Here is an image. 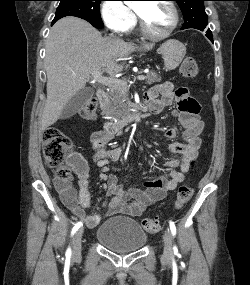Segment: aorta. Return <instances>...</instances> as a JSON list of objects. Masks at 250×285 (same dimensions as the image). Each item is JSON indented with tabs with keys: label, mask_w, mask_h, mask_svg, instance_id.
Instances as JSON below:
<instances>
[{
	"label": "aorta",
	"mask_w": 250,
	"mask_h": 285,
	"mask_svg": "<svg viewBox=\"0 0 250 285\" xmlns=\"http://www.w3.org/2000/svg\"><path fill=\"white\" fill-rule=\"evenodd\" d=\"M125 3L129 5V4H131L132 2H131V1H126Z\"/></svg>",
	"instance_id": "obj_1"
}]
</instances>
